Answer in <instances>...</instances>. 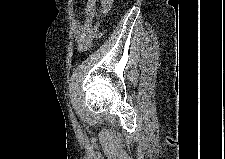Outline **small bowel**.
<instances>
[{"mask_svg": "<svg viewBox=\"0 0 225 159\" xmlns=\"http://www.w3.org/2000/svg\"><path fill=\"white\" fill-rule=\"evenodd\" d=\"M112 5V0H103L100 7V15H105ZM96 1L88 0L85 8L86 19L83 24H78L75 30V41L77 49L84 51L89 48L97 31V25L93 23Z\"/></svg>", "mask_w": 225, "mask_h": 159, "instance_id": "small-bowel-1", "label": "small bowel"}]
</instances>
